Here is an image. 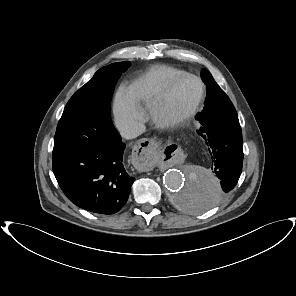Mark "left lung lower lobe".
I'll return each mask as SVG.
<instances>
[{
  "label": "left lung lower lobe",
  "mask_w": 296,
  "mask_h": 296,
  "mask_svg": "<svg viewBox=\"0 0 296 296\" xmlns=\"http://www.w3.org/2000/svg\"><path fill=\"white\" fill-rule=\"evenodd\" d=\"M197 133L212 159V170L220 179L218 190L192 183L181 196L183 207L193 212L211 208L236 186L242 172V131L237 112L226 94L216 97L196 115Z\"/></svg>",
  "instance_id": "1"
}]
</instances>
